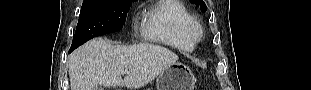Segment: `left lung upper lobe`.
<instances>
[{"label":"left lung upper lobe","instance_id":"1","mask_svg":"<svg viewBox=\"0 0 311 90\" xmlns=\"http://www.w3.org/2000/svg\"><path fill=\"white\" fill-rule=\"evenodd\" d=\"M193 4L200 6V9L202 12H206L207 7L205 5V3L203 2V0H190Z\"/></svg>","mask_w":311,"mask_h":90}]
</instances>
